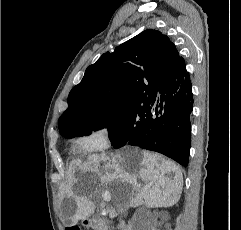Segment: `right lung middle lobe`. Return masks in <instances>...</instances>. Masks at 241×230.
<instances>
[{"instance_id":"obj_1","label":"right lung middle lobe","mask_w":241,"mask_h":230,"mask_svg":"<svg viewBox=\"0 0 241 230\" xmlns=\"http://www.w3.org/2000/svg\"><path fill=\"white\" fill-rule=\"evenodd\" d=\"M150 100L133 108H118L112 110L106 117L87 122H81L61 133L67 138L89 135L92 131L108 128L109 139L114 148L127 137L140 131L148 122L147 106Z\"/></svg>"}]
</instances>
